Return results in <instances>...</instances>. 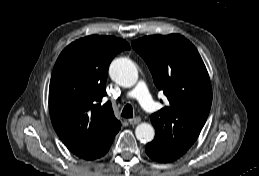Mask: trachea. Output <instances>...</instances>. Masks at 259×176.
I'll return each mask as SVG.
<instances>
[{
  "instance_id": "trachea-1",
  "label": "trachea",
  "mask_w": 259,
  "mask_h": 176,
  "mask_svg": "<svg viewBox=\"0 0 259 176\" xmlns=\"http://www.w3.org/2000/svg\"><path fill=\"white\" fill-rule=\"evenodd\" d=\"M122 117L125 118H132L133 117V109L132 106L130 104H127L124 108L123 111L121 113Z\"/></svg>"
}]
</instances>
